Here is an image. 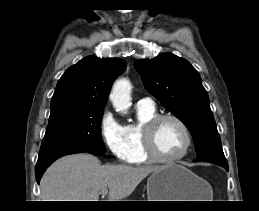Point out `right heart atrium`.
I'll list each match as a JSON object with an SVG mask.
<instances>
[{
  "label": "right heart atrium",
  "instance_id": "right-heart-atrium-1",
  "mask_svg": "<svg viewBox=\"0 0 259 211\" xmlns=\"http://www.w3.org/2000/svg\"><path fill=\"white\" fill-rule=\"evenodd\" d=\"M100 137L109 150V152L117 159H123L124 154V138L123 127L115 118L114 114L105 110L99 120Z\"/></svg>",
  "mask_w": 259,
  "mask_h": 211
}]
</instances>
